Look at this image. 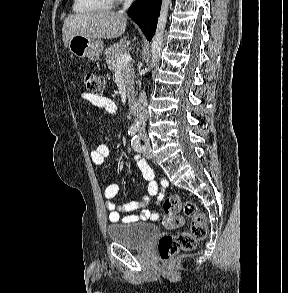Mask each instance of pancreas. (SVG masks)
<instances>
[{"mask_svg": "<svg viewBox=\"0 0 288 293\" xmlns=\"http://www.w3.org/2000/svg\"><path fill=\"white\" fill-rule=\"evenodd\" d=\"M127 53V45L124 40H121L119 43H115L114 45H111L108 47L105 51V57L108 64V67L110 71L116 72L118 70L116 62L118 57L121 54ZM121 71V75L124 79L126 91H127V97L128 99H131L134 96L135 90H134V71L132 64H127L126 66H123L119 68Z\"/></svg>", "mask_w": 288, "mask_h": 293, "instance_id": "pancreas-1", "label": "pancreas"}]
</instances>
